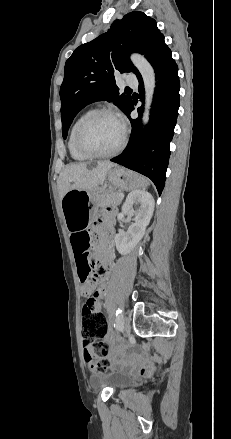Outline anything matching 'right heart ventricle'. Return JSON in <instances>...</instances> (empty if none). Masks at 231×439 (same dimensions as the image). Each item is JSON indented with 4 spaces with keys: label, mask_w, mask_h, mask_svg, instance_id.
Returning <instances> with one entry per match:
<instances>
[{
    "label": "right heart ventricle",
    "mask_w": 231,
    "mask_h": 439,
    "mask_svg": "<svg viewBox=\"0 0 231 439\" xmlns=\"http://www.w3.org/2000/svg\"><path fill=\"white\" fill-rule=\"evenodd\" d=\"M92 111H93V109H87L84 112H82L71 126L69 136H68L67 146H68L69 153L74 160L85 161L88 159V157L86 155H84L83 153H81L75 145V132H76V129H77L79 123L87 115H89Z\"/></svg>",
    "instance_id": "right-heart-ventricle-1"
}]
</instances>
